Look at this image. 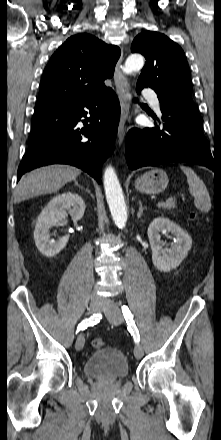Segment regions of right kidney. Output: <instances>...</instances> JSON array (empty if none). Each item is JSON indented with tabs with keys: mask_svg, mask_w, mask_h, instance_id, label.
<instances>
[{
	"mask_svg": "<svg viewBox=\"0 0 221 440\" xmlns=\"http://www.w3.org/2000/svg\"><path fill=\"white\" fill-rule=\"evenodd\" d=\"M85 211V203L81 196L66 192L53 197L40 213L35 230L34 241L38 250L46 257H54L67 244L69 236L60 237L57 241L51 239L49 230L68 213L73 221L80 220Z\"/></svg>",
	"mask_w": 221,
	"mask_h": 440,
	"instance_id": "ca27d5eb",
	"label": "right kidney"
}]
</instances>
